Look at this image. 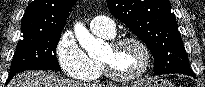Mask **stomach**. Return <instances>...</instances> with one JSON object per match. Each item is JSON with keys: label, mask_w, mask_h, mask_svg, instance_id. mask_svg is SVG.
Wrapping results in <instances>:
<instances>
[{"label": "stomach", "mask_w": 205, "mask_h": 87, "mask_svg": "<svg viewBox=\"0 0 205 87\" xmlns=\"http://www.w3.org/2000/svg\"><path fill=\"white\" fill-rule=\"evenodd\" d=\"M129 87H171V84L165 81L159 82L150 80H140L135 82L134 84H131Z\"/></svg>", "instance_id": "1"}]
</instances>
